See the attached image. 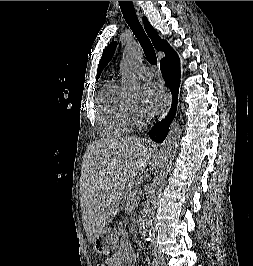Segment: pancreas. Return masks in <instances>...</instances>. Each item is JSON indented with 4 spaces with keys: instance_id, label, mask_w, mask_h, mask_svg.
I'll list each match as a JSON object with an SVG mask.
<instances>
[{
    "instance_id": "cf45deb5",
    "label": "pancreas",
    "mask_w": 253,
    "mask_h": 266,
    "mask_svg": "<svg viewBox=\"0 0 253 266\" xmlns=\"http://www.w3.org/2000/svg\"><path fill=\"white\" fill-rule=\"evenodd\" d=\"M140 193L138 189H128L122 199L123 204L128 208L130 212L137 206Z\"/></svg>"
}]
</instances>
